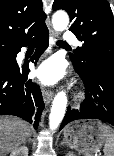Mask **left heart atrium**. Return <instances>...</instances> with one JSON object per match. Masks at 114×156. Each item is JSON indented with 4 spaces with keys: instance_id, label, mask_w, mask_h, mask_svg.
I'll return each mask as SVG.
<instances>
[{
    "instance_id": "obj_1",
    "label": "left heart atrium",
    "mask_w": 114,
    "mask_h": 156,
    "mask_svg": "<svg viewBox=\"0 0 114 156\" xmlns=\"http://www.w3.org/2000/svg\"><path fill=\"white\" fill-rule=\"evenodd\" d=\"M64 66L57 58L43 62L36 70V76L42 84L52 85L62 78Z\"/></svg>"
}]
</instances>
